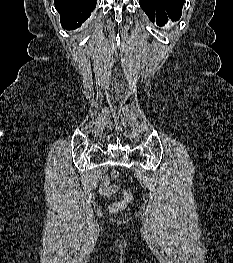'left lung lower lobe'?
Instances as JSON below:
<instances>
[{"label":"left lung lower lobe","mask_w":233,"mask_h":263,"mask_svg":"<svg viewBox=\"0 0 233 263\" xmlns=\"http://www.w3.org/2000/svg\"><path fill=\"white\" fill-rule=\"evenodd\" d=\"M185 0H139L141 8L151 22L163 26L168 19L176 21L181 17Z\"/></svg>","instance_id":"1"}]
</instances>
